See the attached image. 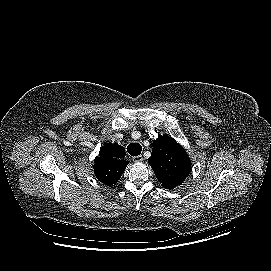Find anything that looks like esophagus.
<instances>
[{"label":"esophagus","instance_id":"esophagus-1","mask_svg":"<svg viewBox=\"0 0 271 271\" xmlns=\"http://www.w3.org/2000/svg\"><path fill=\"white\" fill-rule=\"evenodd\" d=\"M132 160H133L134 162H136V163H139V162H142V161H143V157H142V155H138V156L133 157Z\"/></svg>","mask_w":271,"mask_h":271}]
</instances>
